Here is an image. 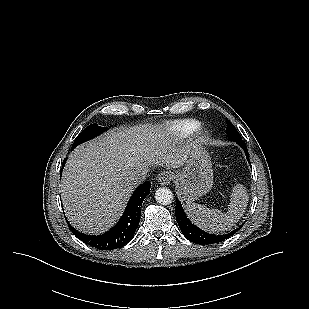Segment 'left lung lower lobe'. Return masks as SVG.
Returning a JSON list of instances; mask_svg holds the SVG:
<instances>
[{
  "label": "left lung lower lobe",
  "instance_id": "obj_1",
  "mask_svg": "<svg viewBox=\"0 0 309 309\" xmlns=\"http://www.w3.org/2000/svg\"><path fill=\"white\" fill-rule=\"evenodd\" d=\"M242 149L244 150L246 157L250 163L249 155L247 151V147L244 141H237ZM176 220L177 223L183 233V235L191 242L197 243L199 245H209L214 243H219L224 241L225 239L233 236L240 228L231 231L228 234L224 235H212L202 231L201 229L197 228L193 225L189 219L187 218L182 205L180 204L179 200L176 198ZM242 227V226H241Z\"/></svg>",
  "mask_w": 309,
  "mask_h": 309
}]
</instances>
